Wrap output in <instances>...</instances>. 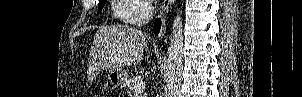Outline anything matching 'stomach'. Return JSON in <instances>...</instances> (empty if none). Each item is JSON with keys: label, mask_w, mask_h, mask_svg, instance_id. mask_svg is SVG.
<instances>
[{"label": "stomach", "mask_w": 302, "mask_h": 97, "mask_svg": "<svg viewBox=\"0 0 302 97\" xmlns=\"http://www.w3.org/2000/svg\"><path fill=\"white\" fill-rule=\"evenodd\" d=\"M107 79L114 87H125L128 83V73L120 67H112L108 71Z\"/></svg>", "instance_id": "1"}]
</instances>
